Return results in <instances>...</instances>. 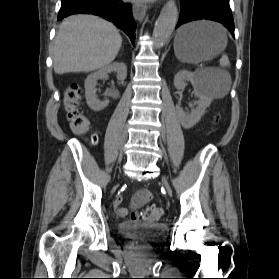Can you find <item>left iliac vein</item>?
<instances>
[{"label":"left iliac vein","instance_id":"left-iliac-vein-1","mask_svg":"<svg viewBox=\"0 0 279 279\" xmlns=\"http://www.w3.org/2000/svg\"><path fill=\"white\" fill-rule=\"evenodd\" d=\"M162 181H163V184H164V187L166 188L167 192L168 193H171V188H170V185L169 183L167 182L166 178H162Z\"/></svg>","mask_w":279,"mask_h":279}]
</instances>
